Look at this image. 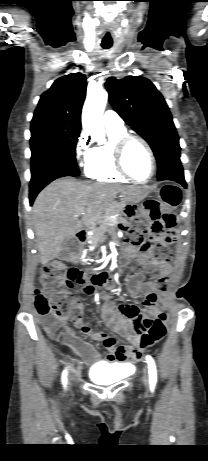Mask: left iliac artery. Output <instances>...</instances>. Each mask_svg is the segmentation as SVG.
<instances>
[{"label": "left iliac artery", "mask_w": 208, "mask_h": 461, "mask_svg": "<svg viewBox=\"0 0 208 461\" xmlns=\"http://www.w3.org/2000/svg\"><path fill=\"white\" fill-rule=\"evenodd\" d=\"M148 368H149V381L152 386H154L157 382V373H156V365L153 358L149 355L146 356Z\"/></svg>", "instance_id": "left-iliac-artery-1"}]
</instances>
